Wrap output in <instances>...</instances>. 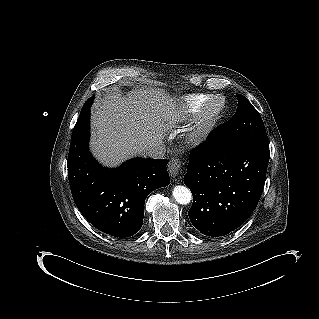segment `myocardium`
Wrapping results in <instances>:
<instances>
[{
	"label": "myocardium",
	"instance_id": "obj_1",
	"mask_svg": "<svg viewBox=\"0 0 319 319\" xmlns=\"http://www.w3.org/2000/svg\"><path fill=\"white\" fill-rule=\"evenodd\" d=\"M224 108L225 102L221 96H210L188 125L185 133L186 141L189 144L202 142L215 126Z\"/></svg>",
	"mask_w": 319,
	"mask_h": 319
}]
</instances>
